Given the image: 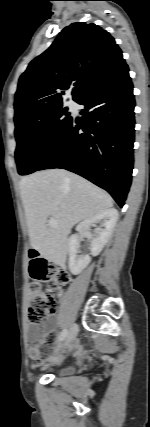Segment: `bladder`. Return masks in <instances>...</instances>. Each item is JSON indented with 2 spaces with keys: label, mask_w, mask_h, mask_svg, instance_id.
Masks as SVG:
<instances>
[{
  "label": "bladder",
  "mask_w": 150,
  "mask_h": 427,
  "mask_svg": "<svg viewBox=\"0 0 150 427\" xmlns=\"http://www.w3.org/2000/svg\"><path fill=\"white\" fill-rule=\"evenodd\" d=\"M73 368L72 367H65V368H62V369H60L58 372H57V374L59 375V376H68V375H70V374H72L73 373Z\"/></svg>",
  "instance_id": "bladder-1"
}]
</instances>
